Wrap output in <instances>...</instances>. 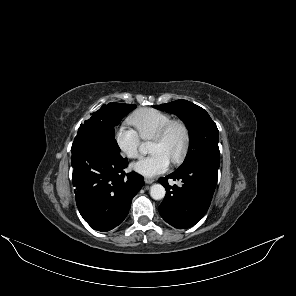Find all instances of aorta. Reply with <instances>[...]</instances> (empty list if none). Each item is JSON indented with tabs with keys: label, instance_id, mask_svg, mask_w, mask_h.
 Segmentation results:
<instances>
[{
	"label": "aorta",
	"instance_id": "762f6f07",
	"mask_svg": "<svg viewBox=\"0 0 296 296\" xmlns=\"http://www.w3.org/2000/svg\"><path fill=\"white\" fill-rule=\"evenodd\" d=\"M166 191L161 184H153L150 188V196L154 200H161L165 197Z\"/></svg>",
	"mask_w": 296,
	"mask_h": 296
}]
</instances>
